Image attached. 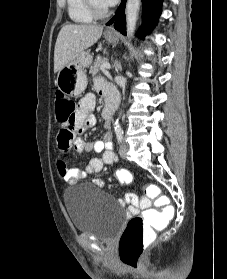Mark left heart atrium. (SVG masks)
I'll return each mask as SVG.
<instances>
[{"instance_id":"1","label":"left heart atrium","mask_w":227,"mask_h":279,"mask_svg":"<svg viewBox=\"0 0 227 279\" xmlns=\"http://www.w3.org/2000/svg\"><path fill=\"white\" fill-rule=\"evenodd\" d=\"M104 1L108 6H111L116 2V0H104Z\"/></svg>"}]
</instances>
